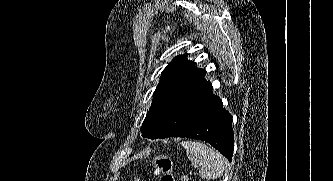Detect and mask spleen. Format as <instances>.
Instances as JSON below:
<instances>
[{"label": "spleen", "instance_id": "obj_1", "mask_svg": "<svg viewBox=\"0 0 333 181\" xmlns=\"http://www.w3.org/2000/svg\"><path fill=\"white\" fill-rule=\"evenodd\" d=\"M181 146L186 150L192 166L199 167L201 178L214 180L223 175L225 159L219 152L197 141H182Z\"/></svg>", "mask_w": 333, "mask_h": 181}]
</instances>
